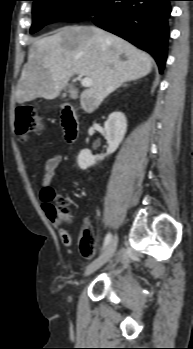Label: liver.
<instances>
[{
    "label": "liver",
    "mask_w": 193,
    "mask_h": 349,
    "mask_svg": "<svg viewBox=\"0 0 193 349\" xmlns=\"http://www.w3.org/2000/svg\"><path fill=\"white\" fill-rule=\"evenodd\" d=\"M151 70V56L124 39L95 26H66L31 45L16 100L21 104L54 99L71 76L83 74L93 85L81 93V107L91 113L124 82L140 79ZM70 96L76 99L77 91L71 89Z\"/></svg>",
    "instance_id": "liver-1"
}]
</instances>
